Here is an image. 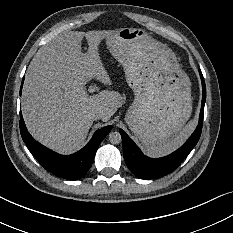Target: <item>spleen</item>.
Segmentation results:
<instances>
[{"instance_id": "spleen-1", "label": "spleen", "mask_w": 233, "mask_h": 233, "mask_svg": "<svg viewBox=\"0 0 233 233\" xmlns=\"http://www.w3.org/2000/svg\"><path fill=\"white\" fill-rule=\"evenodd\" d=\"M194 125H195V120L191 121L188 124V126H186L183 129V131L180 132V134L177 137H175L172 141L158 147H147L145 150L146 153L149 156H153V157H159L171 153L172 151L176 150L180 145L184 143V141L188 138V136L192 132Z\"/></svg>"}]
</instances>
